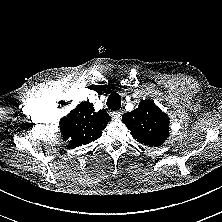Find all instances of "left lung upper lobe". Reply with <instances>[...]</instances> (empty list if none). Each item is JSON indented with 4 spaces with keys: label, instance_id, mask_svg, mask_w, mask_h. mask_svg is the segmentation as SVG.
<instances>
[{
    "label": "left lung upper lobe",
    "instance_id": "left-lung-upper-lobe-1",
    "mask_svg": "<svg viewBox=\"0 0 222 222\" xmlns=\"http://www.w3.org/2000/svg\"><path fill=\"white\" fill-rule=\"evenodd\" d=\"M122 121L133 138L147 146H160L169 136V117L149 100H142L138 108L123 114Z\"/></svg>",
    "mask_w": 222,
    "mask_h": 222
}]
</instances>
